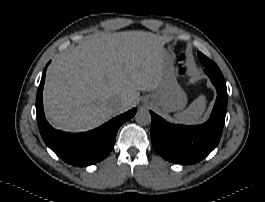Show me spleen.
I'll return each mask as SVG.
<instances>
[{"label":"spleen","instance_id":"obj_1","mask_svg":"<svg viewBox=\"0 0 265 202\" xmlns=\"http://www.w3.org/2000/svg\"><path fill=\"white\" fill-rule=\"evenodd\" d=\"M204 103H205V100L202 98L200 100H198V102H196L194 105H193V109L194 111H201V108L204 106ZM191 114L193 113V111L190 112Z\"/></svg>","mask_w":265,"mask_h":202}]
</instances>
